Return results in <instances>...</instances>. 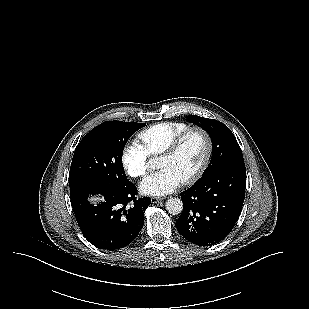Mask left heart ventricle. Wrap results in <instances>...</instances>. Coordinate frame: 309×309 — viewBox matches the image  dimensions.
<instances>
[{
  "label": "left heart ventricle",
  "mask_w": 309,
  "mask_h": 309,
  "mask_svg": "<svg viewBox=\"0 0 309 309\" xmlns=\"http://www.w3.org/2000/svg\"><path fill=\"white\" fill-rule=\"evenodd\" d=\"M206 152L204 138L200 133L190 134L174 156H162L160 168L175 171L182 180L192 175L201 165Z\"/></svg>",
  "instance_id": "1"
}]
</instances>
